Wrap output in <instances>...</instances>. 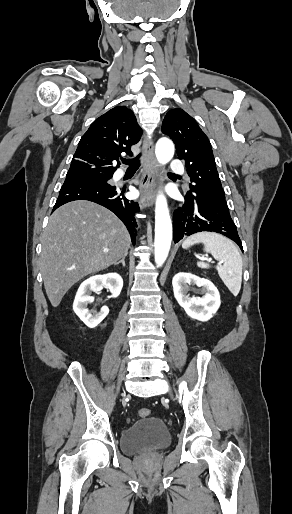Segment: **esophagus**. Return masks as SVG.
<instances>
[{"label": "esophagus", "mask_w": 292, "mask_h": 514, "mask_svg": "<svg viewBox=\"0 0 292 514\" xmlns=\"http://www.w3.org/2000/svg\"><path fill=\"white\" fill-rule=\"evenodd\" d=\"M157 170L153 140L146 137L143 142V175L139 183L141 209L154 204L155 173Z\"/></svg>", "instance_id": "1"}]
</instances>
